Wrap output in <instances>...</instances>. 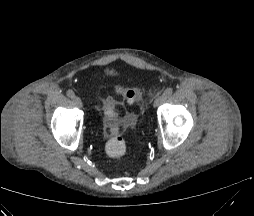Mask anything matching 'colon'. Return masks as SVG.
<instances>
[{"label":"colon","mask_w":254,"mask_h":216,"mask_svg":"<svg viewBox=\"0 0 254 216\" xmlns=\"http://www.w3.org/2000/svg\"><path fill=\"white\" fill-rule=\"evenodd\" d=\"M115 93L125 102L133 104L144 94V91L138 87H122L118 85L115 87ZM106 114L111 123L108 127L109 139L105 150L109 157L120 159L126 152V142L122 136L121 127L116 122V115L112 104H109Z\"/></svg>","instance_id":"colon-1"}]
</instances>
